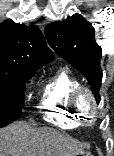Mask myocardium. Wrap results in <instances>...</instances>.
I'll return each instance as SVG.
<instances>
[{"label": "myocardium", "mask_w": 114, "mask_h": 156, "mask_svg": "<svg viewBox=\"0 0 114 156\" xmlns=\"http://www.w3.org/2000/svg\"><path fill=\"white\" fill-rule=\"evenodd\" d=\"M83 95L88 96L90 99L91 109L89 113H87L85 110H83L80 107L79 100ZM69 104L72 110L74 111V113L76 114V116L83 124L90 125L95 121V118L97 116V111H98V102L95 94L89 87L82 86V85L77 87L71 93Z\"/></svg>", "instance_id": "f54148a6"}]
</instances>
